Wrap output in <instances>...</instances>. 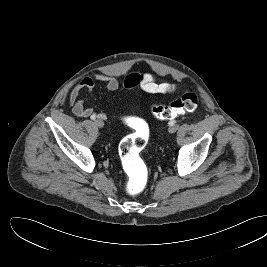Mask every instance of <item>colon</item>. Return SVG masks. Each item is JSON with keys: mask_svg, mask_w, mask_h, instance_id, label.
<instances>
[{"mask_svg": "<svg viewBox=\"0 0 267 267\" xmlns=\"http://www.w3.org/2000/svg\"><path fill=\"white\" fill-rule=\"evenodd\" d=\"M198 106V96L195 93H186L169 105H153L151 112L158 119L169 120L180 114L193 112ZM132 126L134 132L123 138L119 154L128 175L127 191L131 195H137L144 190L148 181V171L141 158V152L148 142L149 131L140 121L132 122Z\"/></svg>", "mask_w": 267, "mask_h": 267, "instance_id": "colon-1", "label": "colon"}]
</instances>
